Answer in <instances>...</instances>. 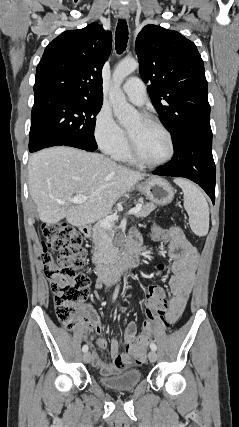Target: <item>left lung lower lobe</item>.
Returning a JSON list of instances; mask_svg holds the SVG:
<instances>
[{
  "mask_svg": "<svg viewBox=\"0 0 239 427\" xmlns=\"http://www.w3.org/2000/svg\"><path fill=\"white\" fill-rule=\"evenodd\" d=\"M215 163L212 132H190L174 145L172 160L153 172L155 175L184 177L197 183L215 202Z\"/></svg>",
  "mask_w": 239,
  "mask_h": 427,
  "instance_id": "0a47b994",
  "label": "left lung lower lobe"
}]
</instances>
